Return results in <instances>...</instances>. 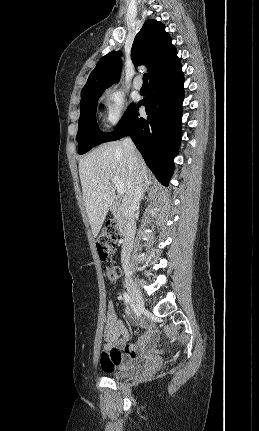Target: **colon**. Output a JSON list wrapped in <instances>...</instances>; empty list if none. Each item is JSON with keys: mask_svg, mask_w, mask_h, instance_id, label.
Masks as SVG:
<instances>
[{"mask_svg": "<svg viewBox=\"0 0 259 431\" xmlns=\"http://www.w3.org/2000/svg\"><path fill=\"white\" fill-rule=\"evenodd\" d=\"M119 242V230L115 223L107 222L101 229L97 240L96 248L101 261L105 262L115 252L117 243ZM103 273L107 281L111 284L117 282L120 276V270L114 265H105Z\"/></svg>", "mask_w": 259, "mask_h": 431, "instance_id": "obj_1", "label": "colon"}]
</instances>
